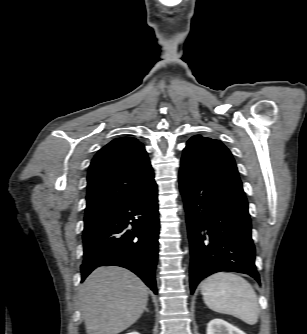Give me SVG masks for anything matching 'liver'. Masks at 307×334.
Instances as JSON below:
<instances>
[{
  "mask_svg": "<svg viewBox=\"0 0 307 334\" xmlns=\"http://www.w3.org/2000/svg\"><path fill=\"white\" fill-rule=\"evenodd\" d=\"M79 301L87 334H118L140 318L148 290L129 270L103 266L82 284Z\"/></svg>",
  "mask_w": 307,
  "mask_h": 334,
  "instance_id": "6515ba94",
  "label": "liver"
}]
</instances>
